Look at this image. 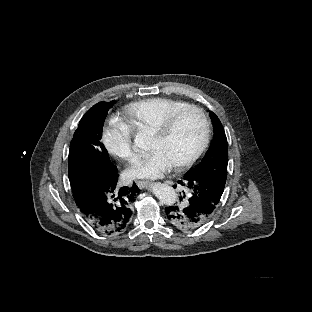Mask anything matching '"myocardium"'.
Masks as SVG:
<instances>
[{
  "label": "myocardium",
  "instance_id": "myocardium-1",
  "mask_svg": "<svg viewBox=\"0 0 312 312\" xmlns=\"http://www.w3.org/2000/svg\"><path fill=\"white\" fill-rule=\"evenodd\" d=\"M195 118L197 126L200 130V150L196 151L194 157L190 158L189 161L184 160L182 162H173L170 164L169 169L171 172L176 173L178 171L186 172L190 167L195 168L198 166L199 162L205 160L206 155L210 153L212 146V136H213V126L209 122V118L205 111L197 108L190 107L188 109L180 108L174 113L170 114L168 118L165 119L164 123L161 124L157 131L159 138L164 139L171 132L175 125L181 120H187Z\"/></svg>",
  "mask_w": 312,
  "mask_h": 312
}]
</instances>
